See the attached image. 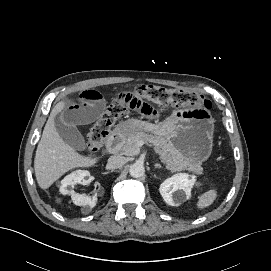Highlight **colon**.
<instances>
[{"label":"colon","mask_w":271,"mask_h":271,"mask_svg":"<svg viewBox=\"0 0 271 271\" xmlns=\"http://www.w3.org/2000/svg\"><path fill=\"white\" fill-rule=\"evenodd\" d=\"M135 91L142 98L160 105L184 106L193 104L204 109L211 107L209 101L202 96L182 89L146 85L137 87ZM126 113L127 105L121 101H114L106 108L88 133L87 148L90 154H95L102 147L110 128Z\"/></svg>","instance_id":"colon-1"}]
</instances>
